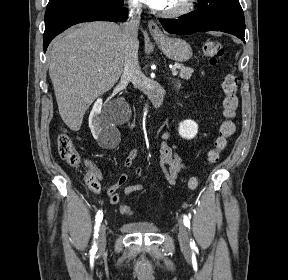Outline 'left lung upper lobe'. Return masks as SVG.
Instances as JSON below:
<instances>
[{"label": "left lung upper lobe", "mask_w": 288, "mask_h": 280, "mask_svg": "<svg viewBox=\"0 0 288 280\" xmlns=\"http://www.w3.org/2000/svg\"><path fill=\"white\" fill-rule=\"evenodd\" d=\"M198 9L245 28L244 14L238 0H198Z\"/></svg>", "instance_id": "5c2ea615"}]
</instances>
